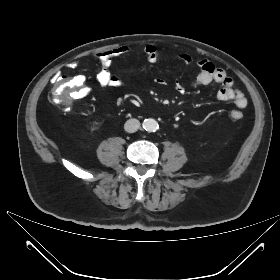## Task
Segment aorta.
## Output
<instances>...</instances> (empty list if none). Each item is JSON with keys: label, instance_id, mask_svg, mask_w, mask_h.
I'll use <instances>...</instances> for the list:
<instances>
[{"label": "aorta", "instance_id": "1", "mask_svg": "<svg viewBox=\"0 0 280 280\" xmlns=\"http://www.w3.org/2000/svg\"><path fill=\"white\" fill-rule=\"evenodd\" d=\"M143 128L148 132H155L158 129V123L154 119H145L143 122Z\"/></svg>", "mask_w": 280, "mask_h": 280}]
</instances>
